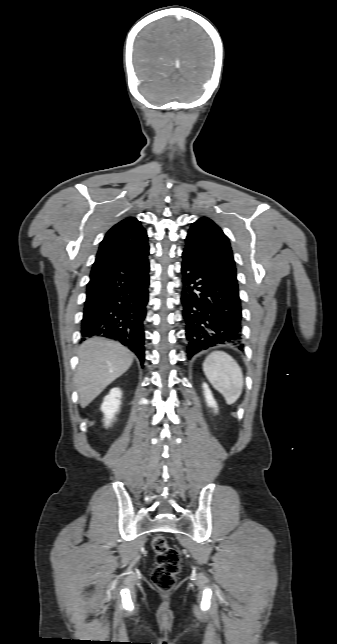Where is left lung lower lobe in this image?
Masks as SVG:
<instances>
[{"label":"left lung lower lobe","instance_id":"0a47b994","mask_svg":"<svg viewBox=\"0 0 337 644\" xmlns=\"http://www.w3.org/2000/svg\"><path fill=\"white\" fill-rule=\"evenodd\" d=\"M181 303L188 340L187 356L217 345L242 350L239 293L205 264L183 254Z\"/></svg>","mask_w":337,"mask_h":644}]
</instances>
